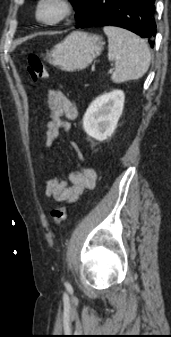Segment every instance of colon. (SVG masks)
I'll use <instances>...</instances> for the list:
<instances>
[{"label": "colon", "instance_id": "1", "mask_svg": "<svg viewBox=\"0 0 171 337\" xmlns=\"http://www.w3.org/2000/svg\"><path fill=\"white\" fill-rule=\"evenodd\" d=\"M26 67L30 77L36 81L47 77L48 70L41 59L31 55L26 60ZM67 210L64 205L54 208L51 212V218L55 225H60L66 218Z\"/></svg>", "mask_w": 171, "mask_h": 337}]
</instances>
